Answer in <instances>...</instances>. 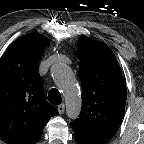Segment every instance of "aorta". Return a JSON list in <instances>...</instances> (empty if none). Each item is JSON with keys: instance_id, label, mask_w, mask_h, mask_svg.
Masks as SVG:
<instances>
[{"instance_id": "obj_1", "label": "aorta", "mask_w": 144, "mask_h": 144, "mask_svg": "<svg viewBox=\"0 0 144 144\" xmlns=\"http://www.w3.org/2000/svg\"><path fill=\"white\" fill-rule=\"evenodd\" d=\"M51 75L63 92L67 116L70 119L77 118L81 110V98L71 68L64 63L54 64Z\"/></svg>"}]
</instances>
